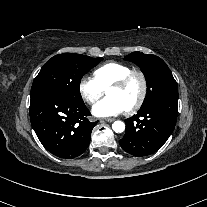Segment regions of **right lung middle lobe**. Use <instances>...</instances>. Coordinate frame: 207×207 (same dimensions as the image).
Instances as JSON below:
<instances>
[{
    "instance_id": "1",
    "label": "right lung middle lobe",
    "mask_w": 207,
    "mask_h": 207,
    "mask_svg": "<svg viewBox=\"0 0 207 207\" xmlns=\"http://www.w3.org/2000/svg\"><path fill=\"white\" fill-rule=\"evenodd\" d=\"M101 60L74 53L58 54L41 68L33 81L31 95L50 91L83 101L79 90L81 78Z\"/></svg>"
}]
</instances>
